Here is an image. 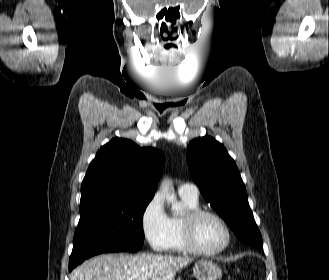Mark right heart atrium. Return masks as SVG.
<instances>
[{
	"instance_id": "obj_1",
	"label": "right heart atrium",
	"mask_w": 329,
	"mask_h": 280,
	"mask_svg": "<svg viewBox=\"0 0 329 280\" xmlns=\"http://www.w3.org/2000/svg\"><path fill=\"white\" fill-rule=\"evenodd\" d=\"M140 225L143 236L152 249L164 251L168 248L171 236L170 221L159 194H155L144 206Z\"/></svg>"
}]
</instances>
